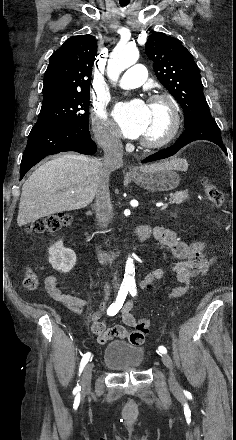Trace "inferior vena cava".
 <instances>
[{
    "mask_svg": "<svg viewBox=\"0 0 236 440\" xmlns=\"http://www.w3.org/2000/svg\"><path fill=\"white\" fill-rule=\"evenodd\" d=\"M102 146L104 150L103 158V174L104 178L100 183L96 192V217L100 226L106 229L112 219V203L110 198L108 177L109 175L123 165V145L121 140L112 134L106 133L103 136ZM108 232L105 230L104 233ZM113 285L115 288L118 287V277L117 272L114 273Z\"/></svg>",
    "mask_w": 236,
    "mask_h": 440,
    "instance_id": "1",
    "label": "inferior vena cava"
}]
</instances>
